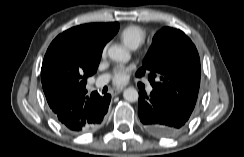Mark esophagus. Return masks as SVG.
<instances>
[{"mask_svg": "<svg viewBox=\"0 0 244 157\" xmlns=\"http://www.w3.org/2000/svg\"><path fill=\"white\" fill-rule=\"evenodd\" d=\"M123 89H124V87L115 88V89H112L110 91V93L112 96H115V95H118L119 93H121L123 91Z\"/></svg>", "mask_w": 244, "mask_h": 157, "instance_id": "obj_1", "label": "esophagus"}]
</instances>
